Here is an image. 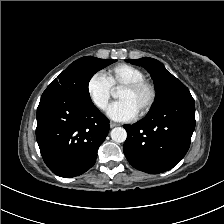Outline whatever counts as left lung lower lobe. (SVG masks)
Returning a JSON list of instances; mask_svg holds the SVG:
<instances>
[{"mask_svg":"<svg viewBox=\"0 0 224 224\" xmlns=\"http://www.w3.org/2000/svg\"><path fill=\"white\" fill-rule=\"evenodd\" d=\"M124 154L138 170L157 174L173 168L187 153L195 128L191 95L175 99L133 125H125Z\"/></svg>","mask_w":224,"mask_h":224,"instance_id":"left-lung-lower-lobe-1","label":"left lung lower lobe"}]
</instances>
